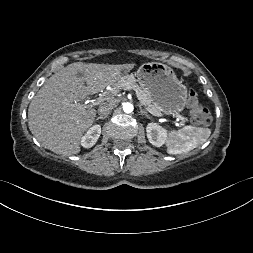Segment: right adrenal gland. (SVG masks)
<instances>
[{"label": "right adrenal gland", "mask_w": 253, "mask_h": 253, "mask_svg": "<svg viewBox=\"0 0 253 253\" xmlns=\"http://www.w3.org/2000/svg\"><path fill=\"white\" fill-rule=\"evenodd\" d=\"M106 118H107V116L99 115V116L96 117V120H99V119H106Z\"/></svg>", "instance_id": "obj_1"}]
</instances>
